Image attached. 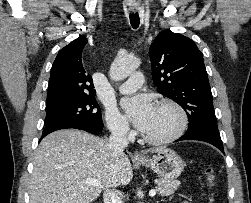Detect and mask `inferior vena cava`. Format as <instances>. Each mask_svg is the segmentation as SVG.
I'll use <instances>...</instances> for the list:
<instances>
[{"mask_svg":"<svg viewBox=\"0 0 251 203\" xmlns=\"http://www.w3.org/2000/svg\"><path fill=\"white\" fill-rule=\"evenodd\" d=\"M128 128L125 125H117L112 128L109 137L108 146L115 156L123 153L128 145ZM104 203H122L120 197L113 190H107L104 193Z\"/></svg>","mask_w":251,"mask_h":203,"instance_id":"602c4592","label":"inferior vena cava"}]
</instances>
